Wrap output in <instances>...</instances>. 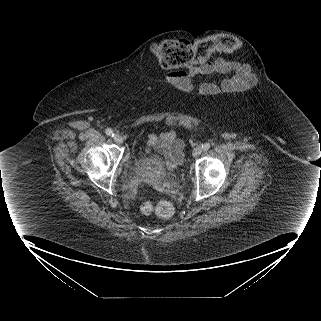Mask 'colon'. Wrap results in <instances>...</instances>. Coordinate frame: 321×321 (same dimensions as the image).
I'll use <instances>...</instances> for the list:
<instances>
[{
    "label": "colon",
    "instance_id": "colon-1",
    "mask_svg": "<svg viewBox=\"0 0 321 321\" xmlns=\"http://www.w3.org/2000/svg\"><path fill=\"white\" fill-rule=\"evenodd\" d=\"M238 49V40L231 35H215L197 42L165 40L156 43L152 52L157 62L166 69H174L204 63L218 52H233ZM144 215L156 214L167 219L174 213L173 205L166 200H144L140 205Z\"/></svg>",
    "mask_w": 321,
    "mask_h": 321
}]
</instances>
